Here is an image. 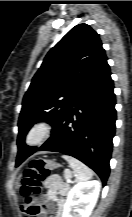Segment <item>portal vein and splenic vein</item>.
I'll list each match as a JSON object with an SVG mask.
<instances>
[{"instance_id": "portal-vein-and-splenic-vein-1", "label": "portal vein and splenic vein", "mask_w": 132, "mask_h": 217, "mask_svg": "<svg viewBox=\"0 0 132 217\" xmlns=\"http://www.w3.org/2000/svg\"><path fill=\"white\" fill-rule=\"evenodd\" d=\"M71 174L70 173H66V176H65V179H66V181L68 182V183H70L71 182Z\"/></svg>"}]
</instances>
